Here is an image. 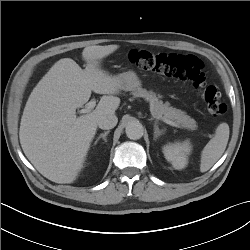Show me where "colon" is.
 Instances as JSON below:
<instances>
[{
	"instance_id": "1",
	"label": "colon",
	"mask_w": 250,
	"mask_h": 250,
	"mask_svg": "<svg viewBox=\"0 0 250 250\" xmlns=\"http://www.w3.org/2000/svg\"><path fill=\"white\" fill-rule=\"evenodd\" d=\"M127 58L142 70L190 81L200 91L211 115L220 117L227 113V105L221 99L218 90L206 84L203 64L196 56L131 50Z\"/></svg>"
}]
</instances>
